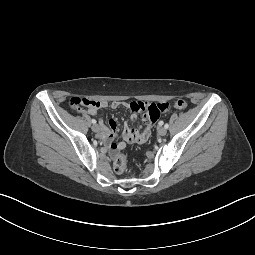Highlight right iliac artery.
Listing matches in <instances>:
<instances>
[{
	"label": "right iliac artery",
	"mask_w": 255,
	"mask_h": 255,
	"mask_svg": "<svg viewBox=\"0 0 255 255\" xmlns=\"http://www.w3.org/2000/svg\"><path fill=\"white\" fill-rule=\"evenodd\" d=\"M91 122H92L93 124H96V120H95V119H92Z\"/></svg>",
	"instance_id": "1"
}]
</instances>
